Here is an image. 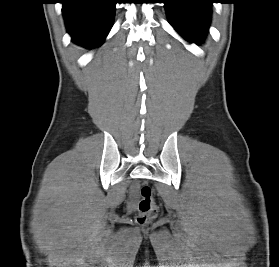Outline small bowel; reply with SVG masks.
Listing matches in <instances>:
<instances>
[{"instance_id":"small-bowel-1","label":"small bowel","mask_w":279,"mask_h":267,"mask_svg":"<svg viewBox=\"0 0 279 267\" xmlns=\"http://www.w3.org/2000/svg\"><path fill=\"white\" fill-rule=\"evenodd\" d=\"M132 197H133V198L135 197V191L132 192Z\"/></svg>"}]
</instances>
